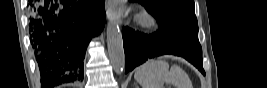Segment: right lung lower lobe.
I'll use <instances>...</instances> for the list:
<instances>
[{"instance_id":"1","label":"right lung lower lobe","mask_w":267,"mask_h":88,"mask_svg":"<svg viewBox=\"0 0 267 88\" xmlns=\"http://www.w3.org/2000/svg\"><path fill=\"white\" fill-rule=\"evenodd\" d=\"M105 0H29V33L44 88L83 79L86 48L103 29Z\"/></svg>"}]
</instances>
